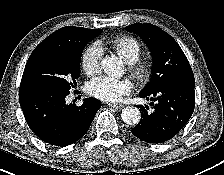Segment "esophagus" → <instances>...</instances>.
<instances>
[{"instance_id":"esophagus-1","label":"esophagus","mask_w":224,"mask_h":175,"mask_svg":"<svg viewBox=\"0 0 224 175\" xmlns=\"http://www.w3.org/2000/svg\"><path fill=\"white\" fill-rule=\"evenodd\" d=\"M108 106L111 108L121 109L124 107V104L121 103H108Z\"/></svg>"}]
</instances>
